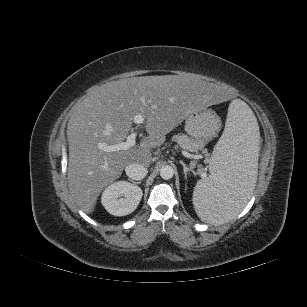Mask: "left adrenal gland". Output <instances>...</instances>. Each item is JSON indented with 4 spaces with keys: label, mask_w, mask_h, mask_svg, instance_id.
<instances>
[{
    "label": "left adrenal gland",
    "mask_w": 307,
    "mask_h": 307,
    "mask_svg": "<svg viewBox=\"0 0 307 307\" xmlns=\"http://www.w3.org/2000/svg\"><path fill=\"white\" fill-rule=\"evenodd\" d=\"M180 164L183 166V172H184V175H185V179H187L188 173L192 172L194 174L193 169L190 168V167H187L186 164L183 161H180Z\"/></svg>",
    "instance_id": "1"
}]
</instances>
